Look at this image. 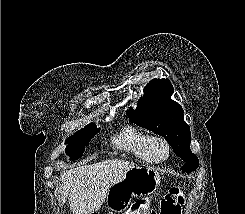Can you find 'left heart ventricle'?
<instances>
[{"label":"left heart ventricle","instance_id":"obj_1","mask_svg":"<svg viewBox=\"0 0 245 214\" xmlns=\"http://www.w3.org/2000/svg\"><path fill=\"white\" fill-rule=\"evenodd\" d=\"M150 153L153 158L160 159V158L165 157L166 149L164 148L162 144L155 142L151 145Z\"/></svg>","mask_w":245,"mask_h":214}]
</instances>
